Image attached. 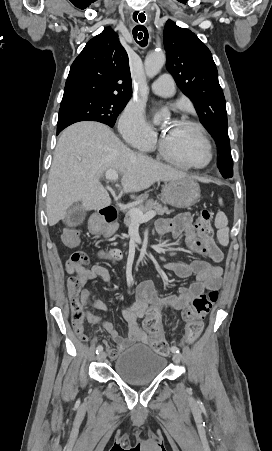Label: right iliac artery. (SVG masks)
Instances as JSON below:
<instances>
[{
    "mask_svg": "<svg viewBox=\"0 0 272 451\" xmlns=\"http://www.w3.org/2000/svg\"><path fill=\"white\" fill-rule=\"evenodd\" d=\"M102 351H103L102 345H98L97 348H96V354H99Z\"/></svg>",
    "mask_w": 272,
    "mask_h": 451,
    "instance_id": "right-iliac-artery-1",
    "label": "right iliac artery"
}]
</instances>
